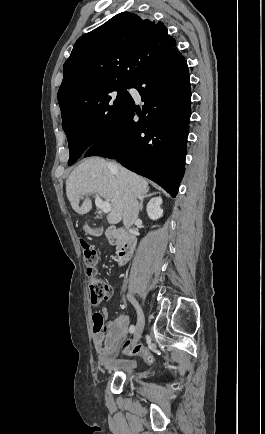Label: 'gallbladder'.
Listing matches in <instances>:
<instances>
[{
    "mask_svg": "<svg viewBox=\"0 0 265 434\" xmlns=\"http://www.w3.org/2000/svg\"><path fill=\"white\" fill-rule=\"evenodd\" d=\"M97 229H100V230H91V228H85V232H88V234H90V236H101V234H102L101 226H97Z\"/></svg>",
    "mask_w": 265,
    "mask_h": 434,
    "instance_id": "obj_1",
    "label": "gallbladder"
}]
</instances>
